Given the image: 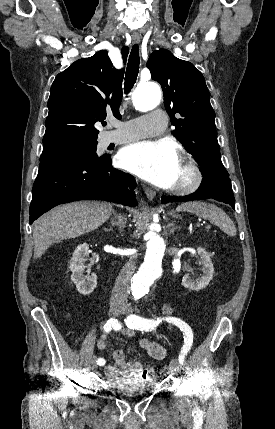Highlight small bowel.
Returning a JSON list of instances; mask_svg holds the SVG:
<instances>
[{
  "instance_id": "obj_1",
  "label": "small bowel",
  "mask_w": 275,
  "mask_h": 429,
  "mask_svg": "<svg viewBox=\"0 0 275 429\" xmlns=\"http://www.w3.org/2000/svg\"><path fill=\"white\" fill-rule=\"evenodd\" d=\"M164 313L168 316L171 315L172 310L169 305H166L164 307ZM121 332L127 336V337H134V330L130 328L122 329ZM138 345L144 349L150 357L156 360H163L166 355L167 351L166 349L153 341H150L145 338H140L137 340ZM107 346V340L106 336H102L100 340L98 341V348L99 349H105ZM113 359L114 364H110L106 366V373L108 376H115L116 374L120 373L123 375L128 376H138L140 375L144 370V363L141 361H135V362H127L125 359V354L122 350L117 349L113 353ZM116 377V376H115Z\"/></svg>"
}]
</instances>
